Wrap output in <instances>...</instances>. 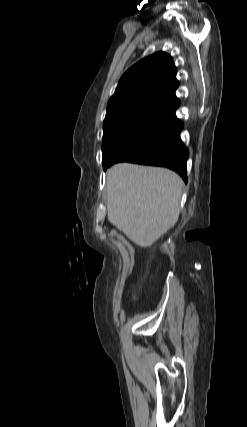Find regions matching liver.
<instances>
[{"label": "liver", "mask_w": 247, "mask_h": 427, "mask_svg": "<svg viewBox=\"0 0 247 427\" xmlns=\"http://www.w3.org/2000/svg\"><path fill=\"white\" fill-rule=\"evenodd\" d=\"M183 181L160 167L119 163L107 173L111 224L140 247H148L178 221Z\"/></svg>", "instance_id": "liver-1"}]
</instances>
